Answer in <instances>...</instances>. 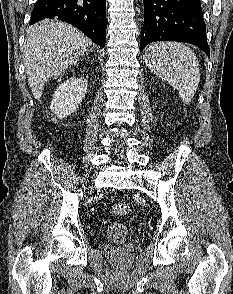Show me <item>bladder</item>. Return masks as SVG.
Masks as SVG:
<instances>
[{"label":"bladder","instance_id":"bladder-1","mask_svg":"<svg viewBox=\"0 0 233 294\" xmlns=\"http://www.w3.org/2000/svg\"><path fill=\"white\" fill-rule=\"evenodd\" d=\"M106 235L109 239L114 241L123 240L129 235V228L124 223H113L108 226Z\"/></svg>","mask_w":233,"mask_h":294}]
</instances>
